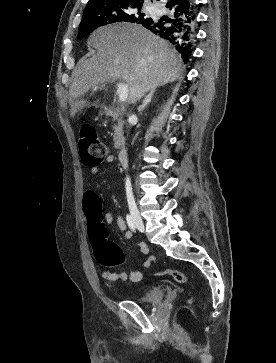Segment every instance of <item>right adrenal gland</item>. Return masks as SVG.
I'll list each match as a JSON object with an SVG mask.
<instances>
[{"instance_id":"obj_1","label":"right adrenal gland","mask_w":276,"mask_h":363,"mask_svg":"<svg viewBox=\"0 0 276 363\" xmlns=\"http://www.w3.org/2000/svg\"><path fill=\"white\" fill-rule=\"evenodd\" d=\"M155 92H156V89H153L147 94V96L145 97V99L143 101V104L138 107L139 113H141L151 103Z\"/></svg>"}]
</instances>
